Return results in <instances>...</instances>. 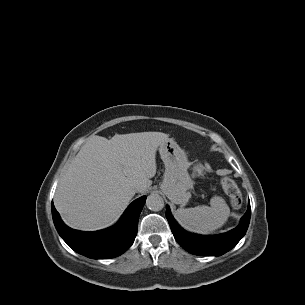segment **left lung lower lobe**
Returning <instances> with one entry per match:
<instances>
[{
	"label": "left lung lower lobe",
	"instance_id": "0a47b994",
	"mask_svg": "<svg viewBox=\"0 0 305 305\" xmlns=\"http://www.w3.org/2000/svg\"><path fill=\"white\" fill-rule=\"evenodd\" d=\"M250 216L251 209L249 205L236 228L221 235L200 236L184 231L172 217L169 206H166V217L176 241L186 251L200 256H219L235 247L247 231Z\"/></svg>",
	"mask_w": 305,
	"mask_h": 305
}]
</instances>
